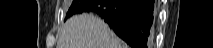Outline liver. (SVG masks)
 Masks as SVG:
<instances>
[{"label":"liver","instance_id":"liver-1","mask_svg":"<svg viewBox=\"0 0 213 48\" xmlns=\"http://www.w3.org/2000/svg\"><path fill=\"white\" fill-rule=\"evenodd\" d=\"M108 25L93 14L71 17L61 28L57 48H126Z\"/></svg>","mask_w":213,"mask_h":48}]
</instances>
